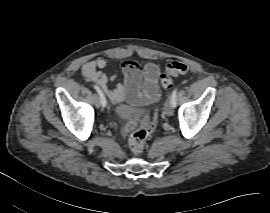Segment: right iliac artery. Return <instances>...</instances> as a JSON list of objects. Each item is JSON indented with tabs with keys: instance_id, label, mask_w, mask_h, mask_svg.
Segmentation results:
<instances>
[{
	"instance_id": "1",
	"label": "right iliac artery",
	"mask_w": 270,
	"mask_h": 213,
	"mask_svg": "<svg viewBox=\"0 0 270 213\" xmlns=\"http://www.w3.org/2000/svg\"><path fill=\"white\" fill-rule=\"evenodd\" d=\"M94 89L97 91L99 97H100V103L103 106H106L107 102H106V98L104 96V94L102 93L101 89L97 86V85H93Z\"/></svg>"
}]
</instances>
